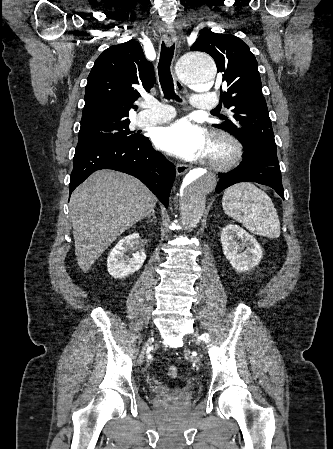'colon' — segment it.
Segmentation results:
<instances>
[{"label":"colon","mask_w":333,"mask_h":449,"mask_svg":"<svg viewBox=\"0 0 333 449\" xmlns=\"http://www.w3.org/2000/svg\"><path fill=\"white\" fill-rule=\"evenodd\" d=\"M166 375H167L169 378H175V377H177V375H178V369H177V367H175V366H169V367H167V369H166Z\"/></svg>","instance_id":"colon-1"}]
</instances>
